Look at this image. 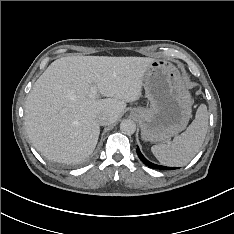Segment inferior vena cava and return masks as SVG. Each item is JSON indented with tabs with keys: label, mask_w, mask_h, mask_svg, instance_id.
Wrapping results in <instances>:
<instances>
[{
	"label": "inferior vena cava",
	"mask_w": 234,
	"mask_h": 234,
	"mask_svg": "<svg viewBox=\"0 0 234 234\" xmlns=\"http://www.w3.org/2000/svg\"><path fill=\"white\" fill-rule=\"evenodd\" d=\"M97 122L101 126L108 125L110 123V117L107 113H102L97 116Z\"/></svg>",
	"instance_id": "inferior-vena-cava-1"
}]
</instances>
